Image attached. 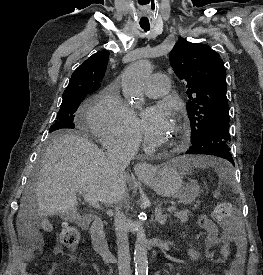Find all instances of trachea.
<instances>
[{"mask_svg":"<svg viewBox=\"0 0 263 275\" xmlns=\"http://www.w3.org/2000/svg\"><path fill=\"white\" fill-rule=\"evenodd\" d=\"M145 31L149 30V27H142Z\"/></svg>","mask_w":263,"mask_h":275,"instance_id":"1","label":"trachea"}]
</instances>
